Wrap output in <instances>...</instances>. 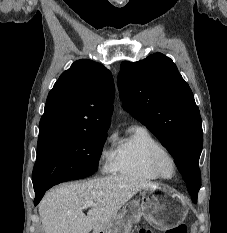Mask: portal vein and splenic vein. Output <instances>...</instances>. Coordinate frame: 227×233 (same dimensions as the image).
I'll return each instance as SVG.
<instances>
[{
    "instance_id": "portal-vein-and-splenic-vein-1",
    "label": "portal vein and splenic vein",
    "mask_w": 227,
    "mask_h": 233,
    "mask_svg": "<svg viewBox=\"0 0 227 233\" xmlns=\"http://www.w3.org/2000/svg\"><path fill=\"white\" fill-rule=\"evenodd\" d=\"M96 207L97 205L92 202V201H87L85 204H84V207L83 208H88V207Z\"/></svg>"
}]
</instances>
